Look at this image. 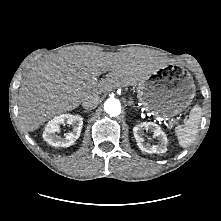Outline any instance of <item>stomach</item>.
Returning <instances> with one entry per match:
<instances>
[{
  "mask_svg": "<svg viewBox=\"0 0 221 221\" xmlns=\"http://www.w3.org/2000/svg\"><path fill=\"white\" fill-rule=\"evenodd\" d=\"M137 93L151 114L173 117L190 105L195 96V84L185 70L158 69L138 83Z\"/></svg>",
  "mask_w": 221,
  "mask_h": 221,
  "instance_id": "obj_1",
  "label": "stomach"
}]
</instances>
